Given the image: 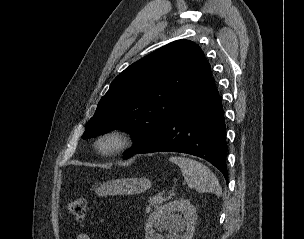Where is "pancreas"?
<instances>
[{"label":"pancreas","instance_id":"cf45deb5","mask_svg":"<svg viewBox=\"0 0 304 239\" xmlns=\"http://www.w3.org/2000/svg\"><path fill=\"white\" fill-rule=\"evenodd\" d=\"M167 198L162 197L161 194L156 195L149 201V205L146 207V212H150L153 208H157L162 202H165Z\"/></svg>","mask_w":304,"mask_h":239}]
</instances>
